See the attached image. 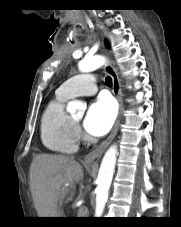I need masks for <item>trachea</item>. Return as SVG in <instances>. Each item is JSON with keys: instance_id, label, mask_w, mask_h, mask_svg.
<instances>
[{"instance_id": "obj_1", "label": "trachea", "mask_w": 181, "mask_h": 227, "mask_svg": "<svg viewBox=\"0 0 181 227\" xmlns=\"http://www.w3.org/2000/svg\"><path fill=\"white\" fill-rule=\"evenodd\" d=\"M105 82H106V84L108 86H111L112 85V79H111V77H106Z\"/></svg>"}]
</instances>
